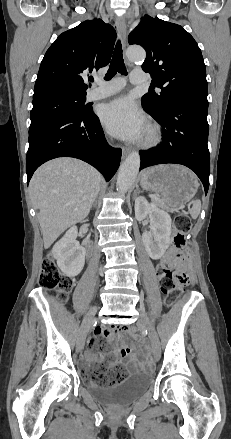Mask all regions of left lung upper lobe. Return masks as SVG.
Instances as JSON below:
<instances>
[{
	"label": "left lung upper lobe",
	"mask_w": 231,
	"mask_h": 439,
	"mask_svg": "<svg viewBox=\"0 0 231 439\" xmlns=\"http://www.w3.org/2000/svg\"><path fill=\"white\" fill-rule=\"evenodd\" d=\"M129 44L141 45L147 53L142 69L152 77L159 94H145L141 103L150 113L168 102L194 96L207 99L206 67L200 48L182 26L148 15L130 33Z\"/></svg>",
	"instance_id": "left-lung-upper-lobe-1"
}]
</instances>
